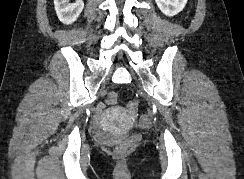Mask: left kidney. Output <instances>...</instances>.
Returning a JSON list of instances; mask_svg holds the SVG:
<instances>
[{"instance_id": "left-kidney-1", "label": "left kidney", "mask_w": 244, "mask_h": 179, "mask_svg": "<svg viewBox=\"0 0 244 179\" xmlns=\"http://www.w3.org/2000/svg\"><path fill=\"white\" fill-rule=\"evenodd\" d=\"M155 2L165 16H176L187 4V0H155Z\"/></svg>"}]
</instances>
